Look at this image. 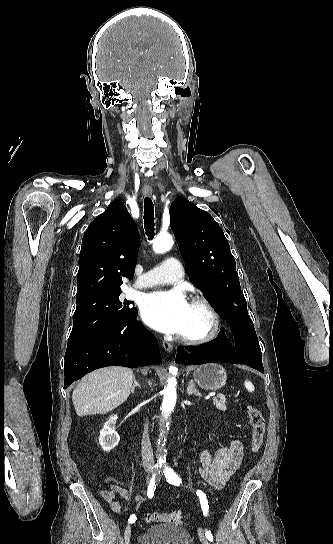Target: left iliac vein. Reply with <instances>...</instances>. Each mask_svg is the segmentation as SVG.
Listing matches in <instances>:
<instances>
[{
	"instance_id": "obj_1",
	"label": "left iliac vein",
	"mask_w": 333,
	"mask_h": 544,
	"mask_svg": "<svg viewBox=\"0 0 333 544\" xmlns=\"http://www.w3.org/2000/svg\"><path fill=\"white\" fill-rule=\"evenodd\" d=\"M198 535H199V538H200V541L202 544H209L208 543V539L206 538L203 530L201 528L198 529Z\"/></svg>"
}]
</instances>
